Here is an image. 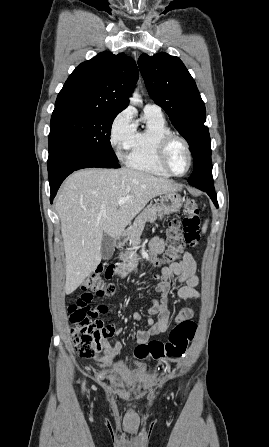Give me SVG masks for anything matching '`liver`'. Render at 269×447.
Segmentation results:
<instances>
[{
	"mask_svg": "<svg viewBox=\"0 0 269 447\" xmlns=\"http://www.w3.org/2000/svg\"><path fill=\"white\" fill-rule=\"evenodd\" d=\"M177 192L166 178L128 168L79 170L64 182L56 212L66 257V293H72L101 261L103 233L117 239L149 200ZM120 198H129L119 206Z\"/></svg>",
	"mask_w": 269,
	"mask_h": 447,
	"instance_id": "6515ba94",
	"label": "liver"
}]
</instances>
